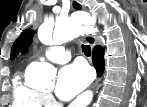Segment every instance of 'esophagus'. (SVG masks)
I'll return each mask as SVG.
<instances>
[{
    "instance_id": "esophagus-1",
    "label": "esophagus",
    "mask_w": 147,
    "mask_h": 107,
    "mask_svg": "<svg viewBox=\"0 0 147 107\" xmlns=\"http://www.w3.org/2000/svg\"><path fill=\"white\" fill-rule=\"evenodd\" d=\"M85 41L92 47H94L97 43V40L95 37H93L92 35H86L84 37Z\"/></svg>"
}]
</instances>
